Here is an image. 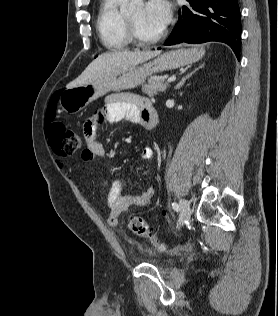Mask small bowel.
Instances as JSON below:
<instances>
[{
	"label": "small bowel",
	"mask_w": 278,
	"mask_h": 316,
	"mask_svg": "<svg viewBox=\"0 0 278 316\" xmlns=\"http://www.w3.org/2000/svg\"><path fill=\"white\" fill-rule=\"evenodd\" d=\"M152 106L151 102L141 96L130 93L112 94L106 97L104 105L83 127L86 148L82 151L81 157L85 162L94 163L97 159L106 156L104 146L97 141V133L104 121L119 122L129 120L133 123H142L145 110ZM154 152L150 147H145L141 154L142 161H149L153 158ZM128 182L127 175L120 176L111 186L107 195V204L110 209L108 217L109 226L115 228L119 223V216L131 206L147 205L154 193L151 186L141 193L125 192L124 188ZM105 186V184H103ZM166 217V213H162Z\"/></svg>",
	"instance_id": "1"
}]
</instances>
